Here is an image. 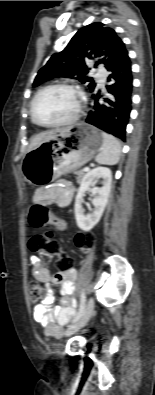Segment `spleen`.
<instances>
[{"label": "spleen", "mask_w": 155, "mask_h": 395, "mask_svg": "<svg viewBox=\"0 0 155 395\" xmlns=\"http://www.w3.org/2000/svg\"><path fill=\"white\" fill-rule=\"evenodd\" d=\"M103 143L95 160L99 164L115 165L121 154L120 142L111 134L103 133Z\"/></svg>", "instance_id": "1"}]
</instances>
